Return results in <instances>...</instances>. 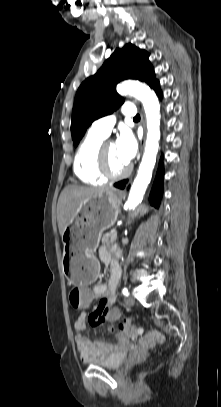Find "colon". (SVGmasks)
Wrapping results in <instances>:
<instances>
[{
    "label": "colon",
    "mask_w": 221,
    "mask_h": 407,
    "mask_svg": "<svg viewBox=\"0 0 221 407\" xmlns=\"http://www.w3.org/2000/svg\"><path fill=\"white\" fill-rule=\"evenodd\" d=\"M92 283H74L69 289V299L71 306L75 311H87L93 298ZM121 307L109 305L105 311V316L109 321L119 322V328L124 337L132 341H138L145 347H154L164 342V337L157 331L143 333L139 330L132 329L130 320L121 319Z\"/></svg>",
    "instance_id": "5ec220e1"
}]
</instances>
